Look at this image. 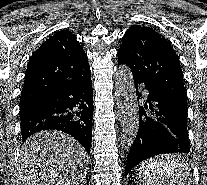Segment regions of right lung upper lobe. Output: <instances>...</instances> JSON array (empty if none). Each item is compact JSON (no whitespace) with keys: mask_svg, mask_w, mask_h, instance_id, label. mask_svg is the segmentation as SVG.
<instances>
[{"mask_svg":"<svg viewBox=\"0 0 207 185\" xmlns=\"http://www.w3.org/2000/svg\"><path fill=\"white\" fill-rule=\"evenodd\" d=\"M90 74L87 55L76 36L70 31H61L46 40L30 58L20 108L51 96Z\"/></svg>","mask_w":207,"mask_h":185,"instance_id":"1","label":"right lung upper lobe"}]
</instances>
